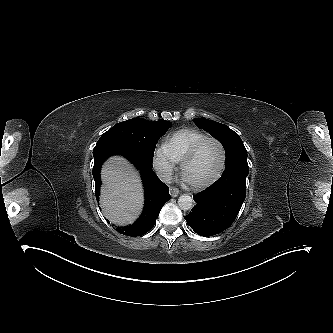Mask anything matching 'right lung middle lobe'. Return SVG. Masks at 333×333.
Wrapping results in <instances>:
<instances>
[{
	"label": "right lung middle lobe",
	"mask_w": 333,
	"mask_h": 333,
	"mask_svg": "<svg viewBox=\"0 0 333 333\" xmlns=\"http://www.w3.org/2000/svg\"><path fill=\"white\" fill-rule=\"evenodd\" d=\"M171 126L172 124L165 120L151 122L144 118H133L114 125L107 133L126 140L146 161L152 164L158 139Z\"/></svg>",
	"instance_id": "obj_1"
}]
</instances>
